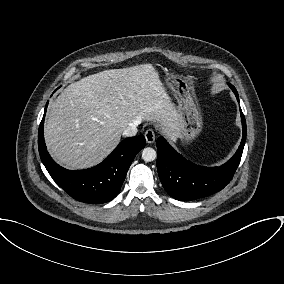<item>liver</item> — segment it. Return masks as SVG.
Here are the masks:
<instances>
[{"label": "liver", "instance_id": "1", "mask_svg": "<svg viewBox=\"0 0 284 284\" xmlns=\"http://www.w3.org/2000/svg\"><path fill=\"white\" fill-rule=\"evenodd\" d=\"M155 122L171 140L180 136L177 109L150 64L110 69L68 85L50 104L44 128L51 156L70 169L100 163L124 129Z\"/></svg>", "mask_w": 284, "mask_h": 284}]
</instances>
